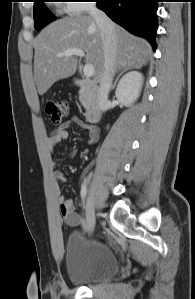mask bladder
Instances as JSON below:
<instances>
[{
    "label": "bladder",
    "instance_id": "obj_1",
    "mask_svg": "<svg viewBox=\"0 0 195 299\" xmlns=\"http://www.w3.org/2000/svg\"><path fill=\"white\" fill-rule=\"evenodd\" d=\"M67 273L80 285H91L116 276L120 264L104 242L86 238L80 231L70 234L66 242Z\"/></svg>",
    "mask_w": 195,
    "mask_h": 299
}]
</instances>
